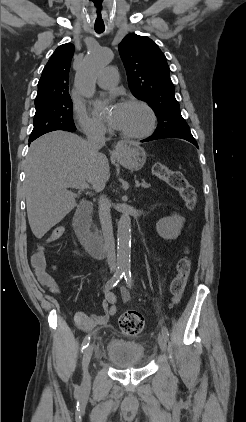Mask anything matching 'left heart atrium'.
Wrapping results in <instances>:
<instances>
[{"label": "left heart atrium", "instance_id": "obj_1", "mask_svg": "<svg viewBox=\"0 0 246 422\" xmlns=\"http://www.w3.org/2000/svg\"><path fill=\"white\" fill-rule=\"evenodd\" d=\"M122 111L123 105L121 103L114 102L106 116L107 123L114 128H119L121 124Z\"/></svg>", "mask_w": 246, "mask_h": 422}]
</instances>
